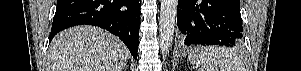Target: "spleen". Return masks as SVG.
I'll return each instance as SVG.
<instances>
[{"label": "spleen", "mask_w": 301, "mask_h": 71, "mask_svg": "<svg viewBox=\"0 0 301 71\" xmlns=\"http://www.w3.org/2000/svg\"><path fill=\"white\" fill-rule=\"evenodd\" d=\"M188 59L201 66L199 71H245L244 64L232 50L210 46L193 50Z\"/></svg>", "instance_id": "3e777b00"}]
</instances>
